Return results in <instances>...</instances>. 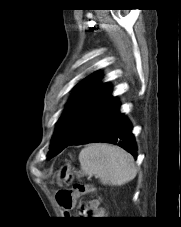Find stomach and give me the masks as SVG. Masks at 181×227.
Listing matches in <instances>:
<instances>
[{"mask_svg":"<svg viewBox=\"0 0 181 227\" xmlns=\"http://www.w3.org/2000/svg\"><path fill=\"white\" fill-rule=\"evenodd\" d=\"M74 180V173L70 165L63 166L58 173V184L61 186L63 183L70 185Z\"/></svg>","mask_w":181,"mask_h":227,"instance_id":"0dacf381","label":"stomach"}]
</instances>
